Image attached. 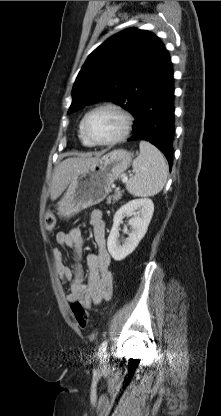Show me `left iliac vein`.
Here are the masks:
<instances>
[{
    "label": "left iliac vein",
    "mask_w": 221,
    "mask_h": 416,
    "mask_svg": "<svg viewBox=\"0 0 221 416\" xmlns=\"http://www.w3.org/2000/svg\"><path fill=\"white\" fill-rule=\"evenodd\" d=\"M100 366H105V365H104V363H103V364H101Z\"/></svg>",
    "instance_id": "obj_1"
}]
</instances>
